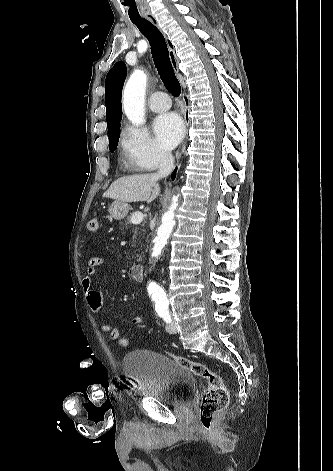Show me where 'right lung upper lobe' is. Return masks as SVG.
<instances>
[{
    "label": "right lung upper lobe",
    "instance_id": "right-lung-upper-lobe-1",
    "mask_svg": "<svg viewBox=\"0 0 333 471\" xmlns=\"http://www.w3.org/2000/svg\"><path fill=\"white\" fill-rule=\"evenodd\" d=\"M172 47V44L169 42ZM126 65L117 62L107 74L105 81V105L108 131L120 124L122 119L121 93L126 77Z\"/></svg>",
    "mask_w": 333,
    "mask_h": 471
}]
</instances>
